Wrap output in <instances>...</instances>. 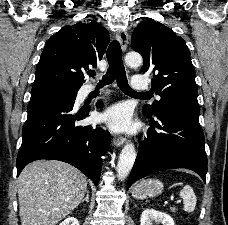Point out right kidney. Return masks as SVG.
<instances>
[{
	"instance_id": "1",
	"label": "right kidney",
	"mask_w": 228,
	"mask_h": 225,
	"mask_svg": "<svg viewBox=\"0 0 228 225\" xmlns=\"http://www.w3.org/2000/svg\"><path fill=\"white\" fill-rule=\"evenodd\" d=\"M60 225H79V223L75 217H68V219H65Z\"/></svg>"
}]
</instances>
